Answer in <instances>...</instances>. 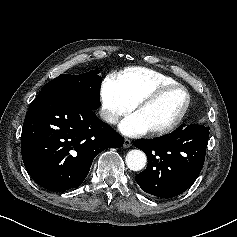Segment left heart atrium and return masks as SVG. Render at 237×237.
Masks as SVG:
<instances>
[{"mask_svg": "<svg viewBox=\"0 0 237 237\" xmlns=\"http://www.w3.org/2000/svg\"><path fill=\"white\" fill-rule=\"evenodd\" d=\"M119 130L127 136H138L148 131L140 117L136 114H130L119 125Z\"/></svg>", "mask_w": 237, "mask_h": 237, "instance_id": "1", "label": "left heart atrium"}]
</instances>
